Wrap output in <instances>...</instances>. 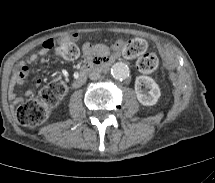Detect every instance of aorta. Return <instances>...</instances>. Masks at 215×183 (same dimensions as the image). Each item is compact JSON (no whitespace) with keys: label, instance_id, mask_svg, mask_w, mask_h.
Returning a JSON list of instances; mask_svg holds the SVG:
<instances>
[{"label":"aorta","instance_id":"aorta-1","mask_svg":"<svg viewBox=\"0 0 215 183\" xmlns=\"http://www.w3.org/2000/svg\"><path fill=\"white\" fill-rule=\"evenodd\" d=\"M129 68L125 63L117 62L111 67V74L118 80H125L129 76Z\"/></svg>","mask_w":215,"mask_h":183}]
</instances>
